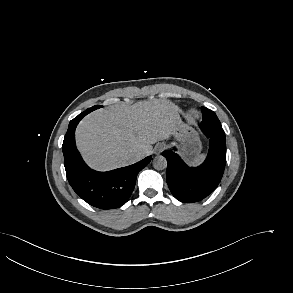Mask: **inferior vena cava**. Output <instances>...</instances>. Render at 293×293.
Wrapping results in <instances>:
<instances>
[{"mask_svg":"<svg viewBox=\"0 0 293 293\" xmlns=\"http://www.w3.org/2000/svg\"><path fill=\"white\" fill-rule=\"evenodd\" d=\"M141 158H142L141 154H134V156H133L134 162L139 161Z\"/></svg>","mask_w":293,"mask_h":293,"instance_id":"602c4592","label":"inferior vena cava"}]
</instances>
